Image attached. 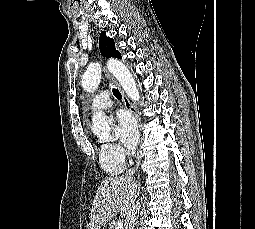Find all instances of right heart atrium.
Wrapping results in <instances>:
<instances>
[{
	"mask_svg": "<svg viewBox=\"0 0 255 229\" xmlns=\"http://www.w3.org/2000/svg\"><path fill=\"white\" fill-rule=\"evenodd\" d=\"M105 148L110 159L124 163L127 152L121 146L117 144H107Z\"/></svg>",
	"mask_w": 255,
	"mask_h": 229,
	"instance_id": "right-heart-atrium-1",
	"label": "right heart atrium"
}]
</instances>
